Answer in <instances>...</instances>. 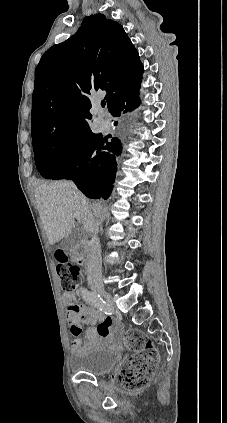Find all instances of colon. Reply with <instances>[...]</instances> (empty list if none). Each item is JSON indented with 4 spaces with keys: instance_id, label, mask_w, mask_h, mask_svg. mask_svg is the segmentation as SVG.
Returning <instances> with one entry per match:
<instances>
[{
    "instance_id": "5ec220e1",
    "label": "colon",
    "mask_w": 227,
    "mask_h": 423,
    "mask_svg": "<svg viewBox=\"0 0 227 423\" xmlns=\"http://www.w3.org/2000/svg\"><path fill=\"white\" fill-rule=\"evenodd\" d=\"M57 272L65 292H72L78 281V268L71 265L62 252L57 254ZM126 346L133 354L121 367L119 378L125 386L133 390L146 388L154 374L158 361L157 350L148 337L138 331L130 330L126 336Z\"/></svg>"
}]
</instances>
